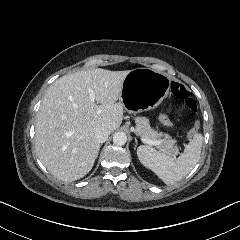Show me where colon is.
<instances>
[{
  "label": "colon",
  "mask_w": 240,
  "mask_h": 240,
  "mask_svg": "<svg viewBox=\"0 0 240 240\" xmlns=\"http://www.w3.org/2000/svg\"><path fill=\"white\" fill-rule=\"evenodd\" d=\"M174 91L176 92L177 96H179L183 101H186L187 107L191 111L196 110V106L192 101H187L189 97V93L183 86H174ZM158 122L165 123L168 128H173V119H170V115L167 114H159L158 115ZM195 132H198V125H193V128L190 130V132H186V140H191V136L195 135Z\"/></svg>",
  "instance_id": "colon-1"
}]
</instances>
